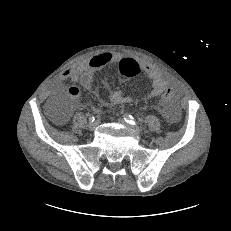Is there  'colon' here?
I'll return each instance as SVG.
<instances>
[{
	"mask_svg": "<svg viewBox=\"0 0 231 231\" xmlns=\"http://www.w3.org/2000/svg\"><path fill=\"white\" fill-rule=\"evenodd\" d=\"M118 72L125 77H133L142 72L141 66L130 58L122 59L118 64ZM163 101L167 102L174 94V88L171 85H166L163 88Z\"/></svg>",
	"mask_w": 231,
	"mask_h": 231,
	"instance_id": "5ec220e1",
	"label": "colon"
}]
</instances>
